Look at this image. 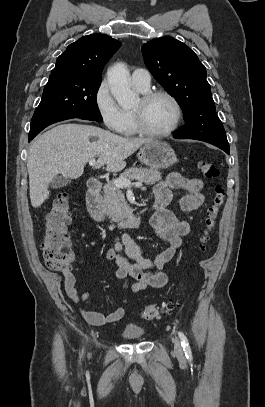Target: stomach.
Listing matches in <instances>:
<instances>
[{
	"label": "stomach",
	"instance_id": "0dacf381",
	"mask_svg": "<svg viewBox=\"0 0 265 407\" xmlns=\"http://www.w3.org/2000/svg\"><path fill=\"white\" fill-rule=\"evenodd\" d=\"M138 158L141 163L155 170L168 168L177 161L172 147L157 140L144 144L138 152Z\"/></svg>",
	"mask_w": 265,
	"mask_h": 407
}]
</instances>
